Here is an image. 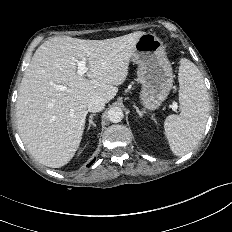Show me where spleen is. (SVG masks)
<instances>
[{"label": "spleen", "instance_id": "1", "mask_svg": "<svg viewBox=\"0 0 232 232\" xmlns=\"http://www.w3.org/2000/svg\"><path fill=\"white\" fill-rule=\"evenodd\" d=\"M181 113L170 115L164 122L165 135L176 156L190 152L204 132L209 104L207 89L197 66L181 59L178 73Z\"/></svg>", "mask_w": 232, "mask_h": 232}]
</instances>
